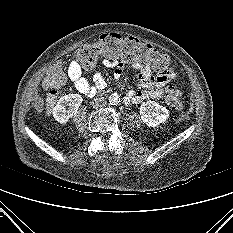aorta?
Returning a JSON list of instances; mask_svg holds the SVG:
<instances>
[{
	"label": "aorta",
	"instance_id": "1",
	"mask_svg": "<svg viewBox=\"0 0 233 233\" xmlns=\"http://www.w3.org/2000/svg\"><path fill=\"white\" fill-rule=\"evenodd\" d=\"M120 102V96L117 93H113L109 96V103L111 105H117Z\"/></svg>",
	"mask_w": 233,
	"mask_h": 233
}]
</instances>
